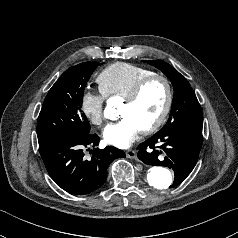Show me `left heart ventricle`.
Listing matches in <instances>:
<instances>
[{"label": "left heart ventricle", "mask_w": 238, "mask_h": 238, "mask_svg": "<svg viewBox=\"0 0 238 238\" xmlns=\"http://www.w3.org/2000/svg\"><path fill=\"white\" fill-rule=\"evenodd\" d=\"M165 100L166 90L163 83L154 81L146 87L134 104L124 103L120 108V115L133 118L143 129L157 119L164 107Z\"/></svg>", "instance_id": "1"}]
</instances>
